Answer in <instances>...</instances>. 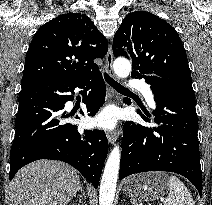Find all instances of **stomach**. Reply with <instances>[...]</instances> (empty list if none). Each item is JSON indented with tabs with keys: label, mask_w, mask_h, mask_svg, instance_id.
Masks as SVG:
<instances>
[{
	"label": "stomach",
	"mask_w": 212,
	"mask_h": 205,
	"mask_svg": "<svg viewBox=\"0 0 212 205\" xmlns=\"http://www.w3.org/2000/svg\"><path fill=\"white\" fill-rule=\"evenodd\" d=\"M123 190L132 201H154L169 190L168 176L163 172L134 175L124 181Z\"/></svg>",
	"instance_id": "0dacf381"
}]
</instances>
